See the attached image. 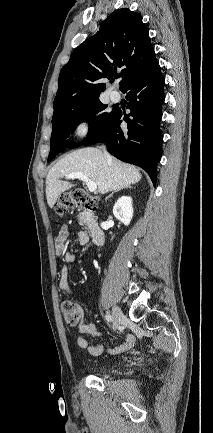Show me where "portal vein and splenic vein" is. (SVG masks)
I'll use <instances>...</instances> for the list:
<instances>
[{
    "label": "portal vein and splenic vein",
    "mask_w": 213,
    "mask_h": 433,
    "mask_svg": "<svg viewBox=\"0 0 213 433\" xmlns=\"http://www.w3.org/2000/svg\"><path fill=\"white\" fill-rule=\"evenodd\" d=\"M66 177L68 179L77 178V179H80L81 181L85 182L87 187H88V190L90 192H96V190H97V184L94 181H92L89 177L85 176L82 173L73 172V173L68 174Z\"/></svg>",
    "instance_id": "18ae733b"
}]
</instances>
